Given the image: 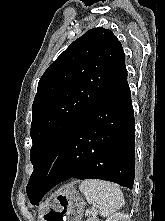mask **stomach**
Segmentation results:
<instances>
[{
	"label": "stomach",
	"mask_w": 165,
	"mask_h": 221,
	"mask_svg": "<svg viewBox=\"0 0 165 221\" xmlns=\"http://www.w3.org/2000/svg\"><path fill=\"white\" fill-rule=\"evenodd\" d=\"M84 206L83 198L75 187L67 185L56 194L51 208H45L42 216L68 218H45L42 221H80Z\"/></svg>",
	"instance_id": "stomach-1"
}]
</instances>
